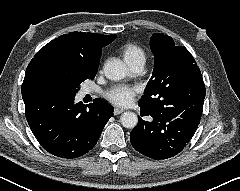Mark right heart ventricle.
<instances>
[{
  "mask_svg": "<svg viewBox=\"0 0 240 191\" xmlns=\"http://www.w3.org/2000/svg\"><path fill=\"white\" fill-rule=\"evenodd\" d=\"M122 55L125 61L131 62L136 59H144L145 60V52L144 50L135 44H127L122 48Z\"/></svg>",
  "mask_w": 240,
  "mask_h": 191,
  "instance_id": "e07e8e85",
  "label": "right heart ventricle"
}]
</instances>
